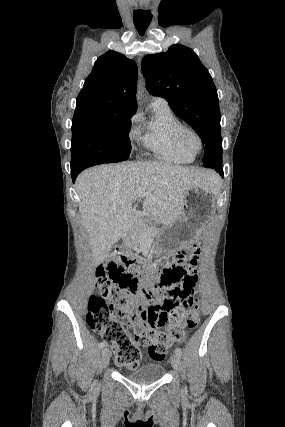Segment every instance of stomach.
<instances>
[{
  "instance_id": "1",
  "label": "stomach",
  "mask_w": 285,
  "mask_h": 427,
  "mask_svg": "<svg viewBox=\"0 0 285 427\" xmlns=\"http://www.w3.org/2000/svg\"><path fill=\"white\" fill-rule=\"evenodd\" d=\"M216 212L215 193L194 186L184 198L180 217L166 230L159 232L152 245L155 255L167 254L184 242L193 241L214 218Z\"/></svg>"
}]
</instances>
